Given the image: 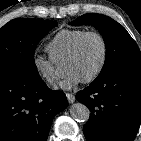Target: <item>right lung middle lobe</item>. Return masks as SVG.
<instances>
[{
	"label": "right lung middle lobe",
	"mask_w": 141,
	"mask_h": 141,
	"mask_svg": "<svg viewBox=\"0 0 141 141\" xmlns=\"http://www.w3.org/2000/svg\"><path fill=\"white\" fill-rule=\"evenodd\" d=\"M51 20L18 18L0 29V74L37 75L34 51L41 38L56 27Z\"/></svg>",
	"instance_id": "dd1d6c3e"
}]
</instances>
